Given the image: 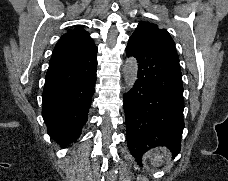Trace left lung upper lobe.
Instances as JSON below:
<instances>
[{"label":"left lung upper lobe","instance_id":"5c2ea615","mask_svg":"<svg viewBox=\"0 0 228 181\" xmlns=\"http://www.w3.org/2000/svg\"><path fill=\"white\" fill-rule=\"evenodd\" d=\"M130 38L177 55L174 41L169 33L164 29H159L156 24L140 23Z\"/></svg>","mask_w":228,"mask_h":181}]
</instances>
